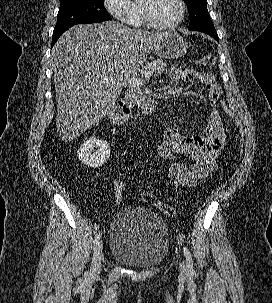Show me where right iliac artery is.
<instances>
[{"label": "right iliac artery", "mask_w": 272, "mask_h": 303, "mask_svg": "<svg viewBox=\"0 0 272 303\" xmlns=\"http://www.w3.org/2000/svg\"><path fill=\"white\" fill-rule=\"evenodd\" d=\"M100 238H101V233L99 232V233H97V234L95 235L93 244H94V245H97L98 242H99V240H100Z\"/></svg>", "instance_id": "1"}]
</instances>
